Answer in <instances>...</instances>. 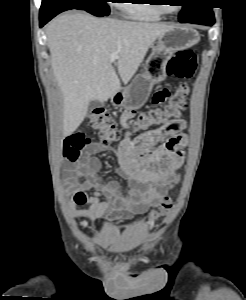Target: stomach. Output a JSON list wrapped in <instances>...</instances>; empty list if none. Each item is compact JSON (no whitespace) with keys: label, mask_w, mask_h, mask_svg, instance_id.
Here are the masks:
<instances>
[{"label":"stomach","mask_w":246,"mask_h":300,"mask_svg":"<svg viewBox=\"0 0 246 300\" xmlns=\"http://www.w3.org/2000/svg\"><path fill=\"white\" fill-rule=\"evenodd\" d=\"M200 41L198 31L188 26H173L159 36L146 61L145 72L137 75L132 82L111 96L116 107H142L148 100L155 83L165 78V63L175 52L187 49Z\"/></svg>","instance_id":"stomach-1"}]
</instances>
